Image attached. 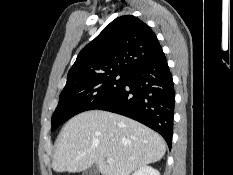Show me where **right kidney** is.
I'll list each match as a JSON object with an SVG mask.
<instances>
[{"instance_id": "obj_1", "label": "right kidney", "mask_w": 233, "mask_h": 175, "mask_svg": "<svg viewBox=\"0 0 233 175\" xmlns=\"http://www.w3.org/2000/svg\"><path fill=\"white\" fill-rule=\"evenodd\" d=\"M132 175H160V173L151 166H143L136 170Z\"/></svg>"}]
</instances>
